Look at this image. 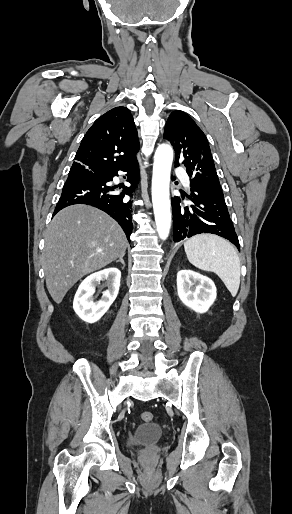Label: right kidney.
Segmentation results:
<instances>
[{"instance_id": "right-kidney-1", "label": "right kidney", "mask_w": 292, "mask_h": 514, "mask_svg": "<svg viewBox=\"0 0 292 514\" xmlns=\"http://www.w3.org/2000/svg\"><path fill=\"white\" fill-rule=\"evenodd\" d=\"M120 278L121 272L117 268H107V270L95 272L85 278L80 284L73 302V310L77 316L88 324H94L100 320L118 296ZM105 280L108 290L102 292L103 296L99 302H94L95 286H99L100 282H105Z\"/></svg>"}]
</instances>
